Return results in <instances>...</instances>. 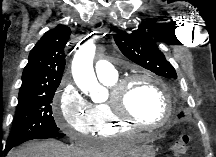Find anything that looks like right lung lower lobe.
I'll use <instances>...</instances> for the list:
<instances>
[{
    "label": "right lung lower lobe",
    "instance_id": "right-lung-lower-lobe-1",
    "mask_svg": "<svg viewBox=\"0 0 216 157\" xmlns=\"http://www.w3.org/2000/svg\"><path fill=\"white\" fill-rule=\"evenodd\" d=\"M63 135H64V134L57 132V133L42 135V136L37 137V138H35V139H38V138H55V137H61V136H63ZM11 148H12V146H6L3 153H4V154H7L8 151H9Z\"/></svg>",
    "mask_w": 216,
    "mask_h": 157
}]
</instances>
